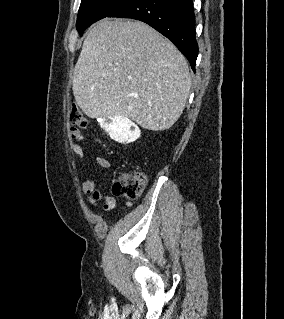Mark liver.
I'll return each mask as SVG.
<instances>
[{"mask_svg":"<svg viewBox=\"0 0 284 319\" xmlns=\"http://www.w3.org/2000/svg\"><path fill=\"white\" fill-rule=\"evenodd\" d=\"M191 83L185 57L152 27L104 19L83 42L72 89L90 118L123 116L161 131L182 114Z\"/></svg>","mask_w":284,"mask_h":319,"instance_id":"liver-1","label":"liver"}]
</instances>
